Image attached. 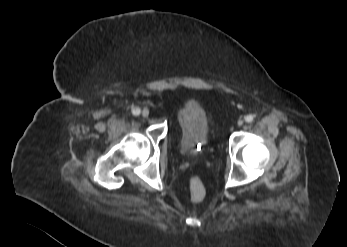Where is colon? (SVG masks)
Segmentation results:
<instances>
[{
    "instance_id": "colon-1",
    "label": "colon",
    "mask_w": 347,
    "mask_h": 247,
    "mask_svg": "<svg viewBox=\"0 0 347 247\" xmlns=\"http://www.w3.org/2000/svg\"><path fill=\"white\" fill-rule=\"evenodd\" d=\"M189 194L191 200L194 202H200L205 198L206 189L203 182L198 177H194L190 181Z\"/></svg>"
}]
</instances>
